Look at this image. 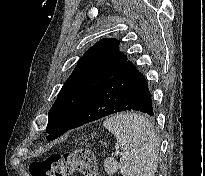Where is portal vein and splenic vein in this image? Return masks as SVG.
<instances>
[{"label":"portal vein and splenic vein","instance_id":"1","mask_svg":"<svg viewBox=\"0 0 205 176\" xmlns=\"http://www.w3.org/2000/svg\"><path fill=\"white\" fill-rule=\"evenodd\" d=\"M115 154H116V155H120L121 153H120L119 150L116 149V150H115Z\"/></svg>","mask_w":205,"mask_h":176}]
</instances>
